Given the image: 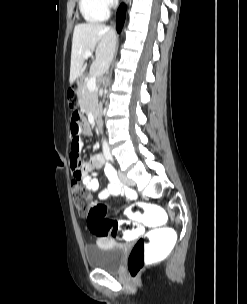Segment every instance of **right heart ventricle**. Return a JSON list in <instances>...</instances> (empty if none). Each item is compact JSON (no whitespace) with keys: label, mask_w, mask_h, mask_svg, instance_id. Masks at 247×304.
Instances as JSON below:
<instances>
[{"label":"right heart ventricle","mask_w":247,"mask_h":304,"mask_svg":"<svg viewBox=\"0 0 247 304\" xmlns=\"http://www.w3.org/2000/svg\"><path fill=\"white\" fill-rule=\"evenodd\" d=\"M79 8L85 21L89 23L102 22L108 17V11L99 0H80Z\"/></svg>","instance_id":"e07e8e85"}]
</instances>
